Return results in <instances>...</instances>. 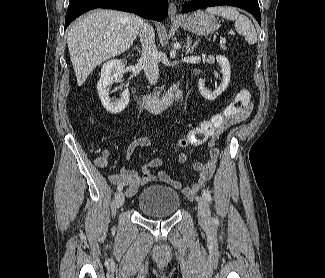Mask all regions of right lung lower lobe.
<instances>
[{
	"instance_id": "98d812e1",
	"label": "right lung lower lobe",
	"mask_w": 325,
	"mask_h": 278,
	"mask_svg": "<svg viewBox=\"0 0 325 278\" xmlns=\"http://www.w3.org/2000/svg\"><path fill=\"white\" fill-rule=\"evenodd\" d=\"M95 8L132 12L143 18L162 21L168 14V0H69L65 29L75 18Z\"/></svg>"
}]
</instances>
